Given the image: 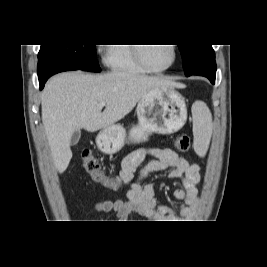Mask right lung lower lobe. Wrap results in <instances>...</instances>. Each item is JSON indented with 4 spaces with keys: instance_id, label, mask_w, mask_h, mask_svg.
<instances>
[{
    "instance_id": "right-lung-lower-lobe-1",
    "label": "right lung lower lobe",
    "mask_w": 267,
    "mask_h": 267,
    "mask_svg": "<svg viewBox=\"0 0 267 267\" xmlns=\"http://www.w3.org/2000/svg\"><path fill=\"white\" fill-rule=\"evenodd\" d=\"M71 70H81V69L65 61L53 57H46L39 59L37 71H38L40 90L43 89L46 81L52 75L59 72L71 71Z\"/></svg>"
}]
</instances>
